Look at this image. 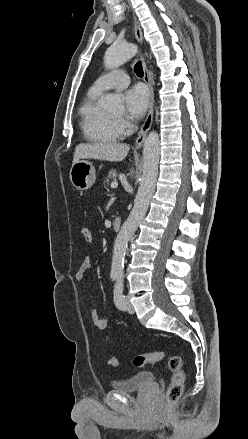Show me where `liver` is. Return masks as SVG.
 I'll return each instance as SVG.
<instances>
[{
  "label": "liver",
  "instance_id": "1",
  "mask_svg": "<svg viewBox=\"0 0 248 439\" xmlns=\"http://www.w3.org/2000/svg\"><path fill=\"white\" fill-rule=\"evenodd\" d=\"M129 145L118 142L81 143L76 146L73 164L82 159L102 161H123L129 152Z\"/></svg>",
  "mask_w": 248,
  "mask_h": 439
}]
</instances>
